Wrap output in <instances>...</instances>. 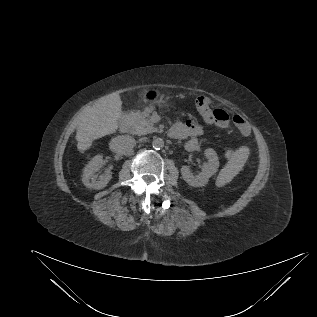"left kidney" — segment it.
I'll use <instances>...</instances> for the list:
<instances>
[{"label":"left kidney","instance_id":"1","mask_svg":"<svg viewBox=\"0 0 317 317\" xmlns=\"http://www.w3.org/2000/svg\"><path fill=\"white\" fill-rule=\"evenodd\" d=\"M204 155L207 158V163L204 164L202 171L199 174H193L188 166L181 167L182 178L191 186H204L219 168L218 156L214 149H205Z\"/></svg>","mask_w":317,"mask_h":317}]
</instances>
